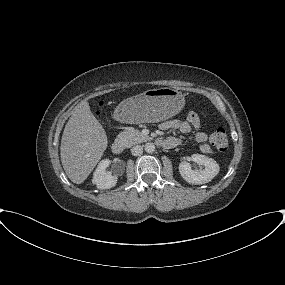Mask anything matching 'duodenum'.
Here are the masks:
<instances>
[{"label": "duodenum", "instance_id": "duodenum-1", "mask_svg": "<svg viewBox=\"0 0 285 285\" xmlns=\"http://www.w3.org/2000/svg\"><path fill=\"white\" fill-rule=\"evenodd\" d=\"M124 148H125V144H124L123 139L121 138H117L112 144V150L116 154L122 153Z\"/></svg>", "mask_w": 285, "mask_h": 285}]
</instances>
